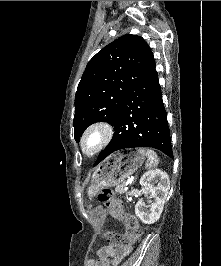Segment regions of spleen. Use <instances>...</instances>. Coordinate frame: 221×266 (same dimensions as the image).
I'll return each instance as SVG.
<instances>
[{
	"label": "spleen",
	"mask_w": 221,
	"mask_h": 266,
	"mask_svg": "<svg viewBox=\"0 0 221 266\" xmlns=\"http://www.w3.org/2000/svg\"><path fill=\"white\" fill-rule=\"evenodd\" d=\"M141 151L147 157V161H146V164H145L147 168H152V167H155V166L158 165L159 159L157 157V154L153 150H151V149H147V150L142 149Z\"/></svg>",
	"instance_id": "spleen-1"
}]
</instances>
